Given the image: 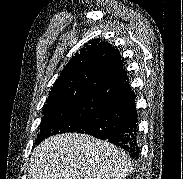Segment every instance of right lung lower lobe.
Wrapping results in <instances>:
<instances>
[{
	"label": "right lung lower lobe",
	"instance_id": "98d812e1",
	"mask_svg": "<svg viewBox=\"0 0 183 179\" xmlns=\"http://www.w3.org/2000/svg\"><path fill=\"white\" fill-rule=\"evenodd\" d=\"M137 122L135 94L129 83L124 81L105 94L97 116L77 133L107 140L125 149L133 159H138L140 151Z\"/></svg>",
	"mask_w": 183,
	"mask_h": 179
}]
</instances>
